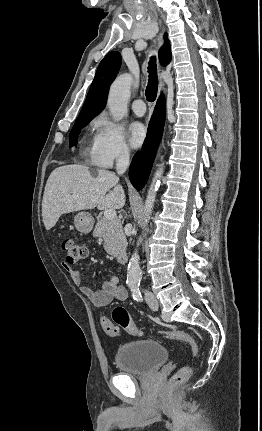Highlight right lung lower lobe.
Here are the masks:
<instances>
[{
	"label": "right lung lower lobe",
	"instance_id": "right-lung-lower-lobe-1",
	"mask_svg": "<svg viewBox=\"0 0 262 431\" xmlns=\"http://www.w3.org/2000/svg\"><path fill=\"white\" fill-rule=\"evenodd\" d=\"M165 121V100L161 96L151 117L147 136L142 148L132 160L129 179L133 186L140 190L147 182L156 149L162 136Z\"/></svg>",
	"mask_w": 262,
	"mask_h": 431
}]
</instances>
